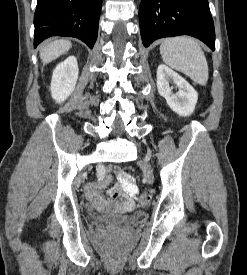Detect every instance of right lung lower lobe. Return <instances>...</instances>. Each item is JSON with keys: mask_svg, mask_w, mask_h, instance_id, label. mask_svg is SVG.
I'll return each instance as SVG.
<instances>
[{"mask_svg": "<svg viewBox=\"0 0 247 275\" xmlns=\"http://www.w3.org/2000/svg\"><path fill=\"white\" fill-rule=\"evenodd\" d=\"M103 0H38L34 47L50 36L76 37L93 48Z\"/></svg>", "mask_w": 247, "mask_h": 275, "instance_id": "obj_1", "label": "right lung lower lobe"}]
</instances>
